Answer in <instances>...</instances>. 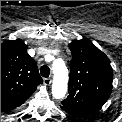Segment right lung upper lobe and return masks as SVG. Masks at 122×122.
I'll use <instances>...</instances> for the list:
<instances>
[{"label":"right lung upper lobe","instance_id":"1","mask_svg":"<svg viewBox=\"0 0 122 122\" xmlns=\"http://www.w3.org/2000/svg\"><path fill=\"white\" fill-rule=\"evenodd\" d=\"M22 40L1 44V111L21 106L43 83L36 61L27 53Z\"/></svg>","mask_w":122,"mask_h":122}]
</instances>
